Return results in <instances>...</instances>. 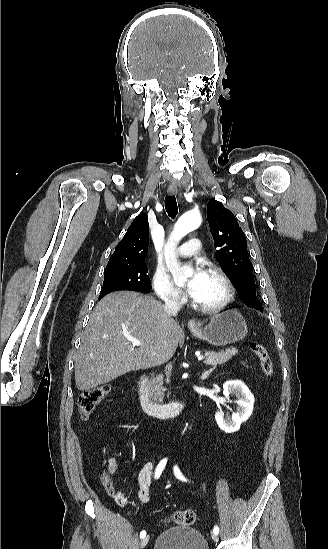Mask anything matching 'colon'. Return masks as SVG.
Returning a JSON list of instances; mask_svg holds the SVG:
<instances>
[{
	"label": "colon",
	"instance_id": "colon-1",
	"mask_svg": "<svg viewBox=\"0 0 328 549\" xmlns=\"http://www.w3.org/2000/svg\"><path fill=\"white\" fill-rule=\"evenodd\" d=\"M250 349L253 355L258 359L263 374L265 376H271L274 371V366L266 347L258 342H252L250 343ZM109 392V385H99L85 390L79 396L78 400V407L81 416L83 418H88L96 406L107 397ZM102 482L105 488L110 484L109 480L105 477L102 478ZM195 520L196 515L192 510H178L170 516V522L177 525L188 526L193 524Z\"/></svg>",
	"mask_w": 328,
	"mask_h": 549
}]
</instances>
